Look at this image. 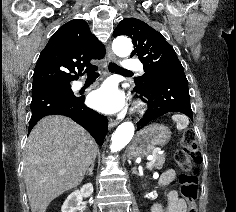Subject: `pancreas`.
<instances>
[{
    "label": "pancreas",
    "instance_id": "cf45deb5",
    "mask_svg": "<svg viewBox=\"0 0 236 212\" xmlns=\"http://www.w3.org/2000/svg\"><path fill=\"white\" fill-rule=\"evenodd\" d=\"M165 163L164 155L157 154L153 160L149 161L147 165H149V169H161L163 164Z\"/></svg>",
    "mask_w": 236,
    "mask_h": 212
}]
</instances>
